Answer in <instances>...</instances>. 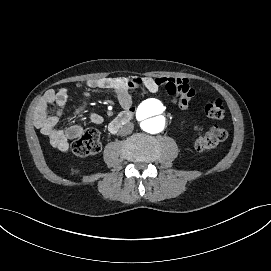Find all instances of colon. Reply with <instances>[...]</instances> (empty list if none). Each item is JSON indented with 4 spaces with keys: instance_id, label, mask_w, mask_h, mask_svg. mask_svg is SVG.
Wrapping results in <instances>:
<instances>
[{
    "instance_id": "1",
    "label": "colon",
    "mask_w": 271,
    "mask_h": 271,
    "mask_svg": "<svg viewBox=\"0 0 271 271\" xmlns=\"http://www.w3.org/2000/svg\"><path fill=\"white\" fill-rule=\"evenodd\" d=\"M206 115L213 121L220 120L224 117L225 109L220 99H214L207 103L205 107ZM228 132L224 127L214 126L207 133L200 135L194 141V146L199 151L213 149L226 140ZM99 134L94 129L85 130L71 144V150L77 156L95 155L100 151Z\"/></svg>"
}]
</instances>
